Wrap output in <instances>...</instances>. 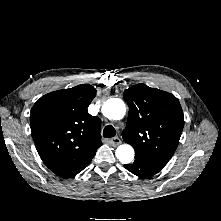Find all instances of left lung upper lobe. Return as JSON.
<instances>
[{
    "instance_id": "5c2ea615",
    "label": "left lung upper lobe",
    "mask_w": 221,
    "mask_h": 221,
    "mask_svg": "<svg viewBox=\"0 0 221 221\" xmlns=\"http://www.w3.org/2000/svg\"><path fill=\"white\" fill-rule=\"evenodd\" d=\"M129 106L123 140L135 155L168 162L174 154L184 126L179 100L168 92L137 84L124 92Z\"/></svg>"
}]
</instances>
